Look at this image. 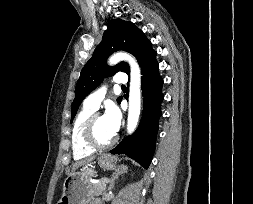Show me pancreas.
I'll list each match as a JSON object with an SVG mask.
<instances>
[{"label":"pancreas","instance_id":"pancreas-1","mask_svg":"<svg viewBox=\"0 0 253 204\" xmlns=\"http://www.w3.org/2000/svg\"><path fill=\"white\" fill-rule=\"evenodd\" d=\"M106 190V183L101 181L99 183L92 184V191L95 195H101Z\"/></svg>","mask_w":253,"mask_h":204}]
</instances>
